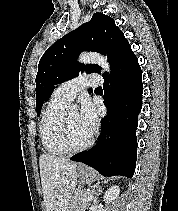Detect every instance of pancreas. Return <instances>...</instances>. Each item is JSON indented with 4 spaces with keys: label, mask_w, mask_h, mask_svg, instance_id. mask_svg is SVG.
Instances as JSON below:
<instances>
[{
    "label": "pancreas",
    "mask_w": 178,
    "mask_h": 211,
    "mask_svg": "<svg viewBox=\"0 0 178 211\" xmlns=\"http://www.w3.org/2000/svg\"><path fill=\"white\" fill-rule=\"evenodd\" d=\"M90 196H91L90 193L76 192L70 202L68 211H81L86 205V202L83 199L85 198L88 199Z\"/></svg>",
    "instance_id": "obj_1"
}]
</instances>
